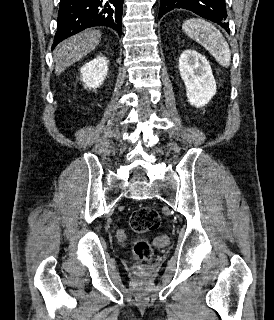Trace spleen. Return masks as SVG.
<instances>
[{
    "mask_svg": "<svg viewBox=\"0 0 274 320\" xmlns=\"http://www.w3.org/2000/svg\"><path fill=\"white\" fill-rule=\"evenodd\" d=\"M183 30H185L187 36L206 48L220 66H223V68L230 66L229 46L220 30H217L213 24L205 22V20H199V18H191V20L184 22Z\"/></svg>",
    "mask_w": 274,
    "mask_h": 320,
    "instance_id": "spleen-1",
    "label": "spleen"
}]
</instances>
